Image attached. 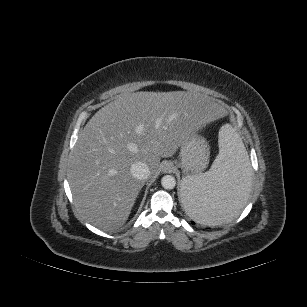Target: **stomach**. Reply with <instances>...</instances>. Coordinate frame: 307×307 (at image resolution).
<instances>
[{"instance_id":"stomach-1","label":"stomach","mask_w":307,"mask_h":307,"mask_svg":"<svg viewBox=\"0 0 307 307\" xmlns=\"http://www.w3.org/2000/svg\"><path fill=\"white\" fill-rule=\"evenodd\" d=\"M179 166L186 173H199L209 162L207 141L197 132L189 134L180 146Z\"/></svg>"}]
</instances>
